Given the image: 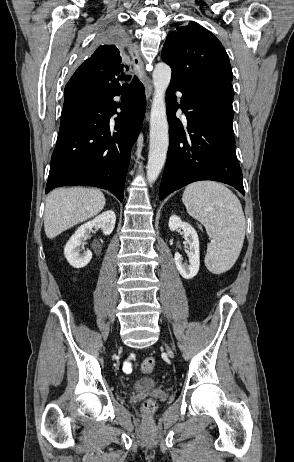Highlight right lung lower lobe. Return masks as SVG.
Segmentation results:
<instances>
[{
    "label": "right lung lower lobe",
    "instance_id": "1",
    "mask_svg": "<svg viewBox=\"0 0 294 462\" xmlns=\"http://www.w3.org/2000/svg\"><path fill=\"white\" fill-rule=\"evenodd\" d=\"M125 88L97 96L75 94L65 101L79 104L63 107L56 147L46 185V194L60 186L88 185L111 191L122 202L130 151L144 116L143 85L135 79L122 105L113 100ZM120 107L115 124L112 115Z\"/></svg>",
    "mask_w": 294,
    "mask_h": 462
}]
</instances>
